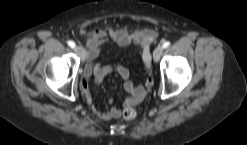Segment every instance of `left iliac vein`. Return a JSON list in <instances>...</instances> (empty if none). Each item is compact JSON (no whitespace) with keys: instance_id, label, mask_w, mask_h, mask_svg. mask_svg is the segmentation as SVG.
Instances as JSON below:
<instances>
[{"instance_id":"4c4485c4","label":"left iliac vein","mask_w":247,"mask_h":145,"mask_svg":"<svg viewBox=\"0 0 247 145\" xmlns=\"http://www.w3.org/2000/svg\"><path fill=\"white\" fill-rule=\"evenodd\" d=\"M163 46L158 45L153 52L154 61H158L163 53Z\"/></svg>"}]
</instances>
